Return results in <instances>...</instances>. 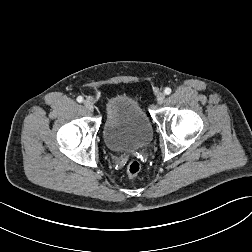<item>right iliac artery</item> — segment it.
Here are the masks:
<instances>
[{"mask_svg":"<svg viewBox=\"0 0 252 252\" xmlns=\"http://www.w3.org/2000/svg\"><path fill=\"white\" fill-rule=\"evenodd\" d=\"M77 101H78L79 103L83 102V97H81V96L77 97Z\"/></svg>","mask_w":252,"mask_h":252,"instance_id":"1","label":"right iliac artery"}]
</instances>
